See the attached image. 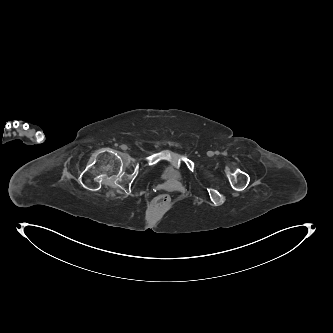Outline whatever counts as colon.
<instances>
[{
  "instance_id": "colon-1",
  "label": "colon",
  "mask_w": 333,
  "mask_h": 333,
  "mask_svg": "<svg viewBox=\"0 0 333 333\" xmlns=\"http://www.w3.org/2000/svg\"><path fill=\"white\" fill-rule=\"evenodd\" d=\"M171 205V198L168 194L163 193L154 198L152 201L153 208L157 210H167Z\"/></svg>"
}]
</instances>
